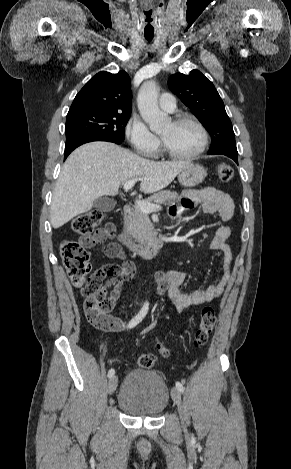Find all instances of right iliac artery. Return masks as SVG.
Segmentation results:
<instances>
[{
	"instance_id": "1",
	"label": "right iliac artery",
	"mask_w": 291,
	"mask_h": 469,
	"mask_svg": "<svg viewBox=\"0 0 291 469\" xmlns=\"http://www.w3.org/2000/svg\"><path fill=\"white\" fill-rule=\"evenodd\" d=\"M148 310H149V302L146 301L143 307L141 308V310L138 312V314L130 320V322L128 323V328L131 329L135 327L137 324H139L146 316ZM114 373H115L114 369H110L108 371V377L111 378L114 375Z\"/></svg>"
}]
</instances>
